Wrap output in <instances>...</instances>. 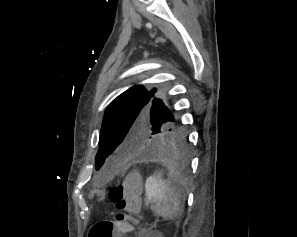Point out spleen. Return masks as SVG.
<instances>
[{"instance_id":"1","label":"spleen","mask_w":297,"mask_h":237,"mask_svg":"<svg viewBox=\"0 0 297 237\" xmlns=\"http://www.w3.org/2000/svg\"><path fill=\"white\" fill-rule=\"evenodd\" d=\"M145 193L155 213L165 220H174L182 214L179 192L171 181L162 179L160 173L147 178Z\"/></svg>"}]
</instances>
